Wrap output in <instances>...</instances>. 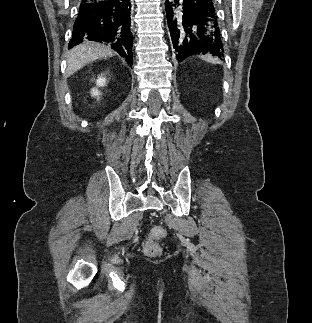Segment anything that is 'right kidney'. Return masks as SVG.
Wrapping results in <instances>:
<instances>
[{
	"mask_svg": "<svg viewBox=\"0 0 312 323\" xmlns=\"http://www.w3.org/2000/svg\"><path fill=\"white\" fill-rule=\"evenodd\" d=\"M105 82H106V78H102V76H99L98 80H96V84L97 86H105ZM92 96H96V98H99L100 96V92H98V90H96V88H93L92 92H91Z\"/></svg>",
	"mask_w": 312,
	"mask_h": 323,
	"instance_id": "right-kidney-1",
	"label": "right kidney"
}]
</instances>
